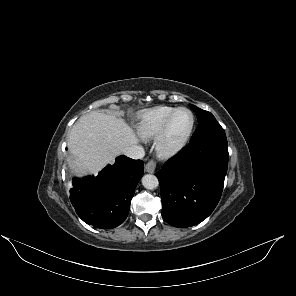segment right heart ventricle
Returning <instances> with one entry per match:
<instances>
[{"label": "right heart ventricle", "instance_id": "right-heart-ventricle-1", "mask_svg": "<svg viewBox=\"0 0 296 296\" xmlns=\"http://www.w3.org/2000/svg\"><path fill=\"white\" fill-rule=\"evenodd\" d=\"M176 108L158 106L143 111L137 125V134L145 141L156 139L168 117Z\"/></svg>", "mask_w": 296, "mask_h": 296}]
</instances>
